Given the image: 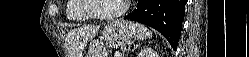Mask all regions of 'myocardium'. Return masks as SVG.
<instances>
[{"instance_id":"obj_1","label":"myocardium","mask_w":249,"mask_h":57,"mask_svg":"<svg viewBox=\"0 0 249 57\" xmlns=\"http://www.w3.org/2000/svg\"><path fill=\"white\" fill-rule=\"evenodd\" d=\"M129 0H125L120 10L111 14H99L97 12H93L91 10L92 7V0H81V10L90 18L97 19V20H114L121 17L128 9Z\"/></svg>"}]
</instances>
